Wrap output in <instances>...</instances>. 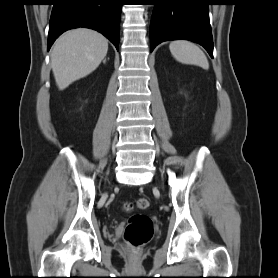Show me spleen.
<instances>
[{
  "label": "spleen",
  "mask_w": 278,
  "mask_h": 278,
  "mask_svg": "<svg viewBox=\"0 0 278 278\" xmlns=\"http://www.w3.org/2000/svg\"><path fill=\"white\" fill-rule=\"evenodd\" d=\"M169 49L173 57L181 63L197 65L203 69L209 68L207 57L203 51L190 41H172L169 45Z\"/></svg>",
  "instance_id": "3e777b00"
}]
</instances>
